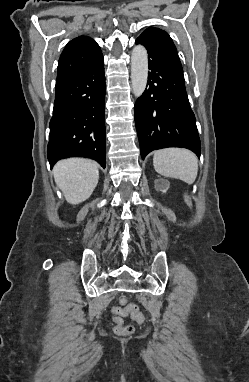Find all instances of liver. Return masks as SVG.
<instances>
[{"mask_svg":"<svg viewBox=\"0 0 249 382\" xmlns=\"http://www.w3.org/2000/svg\"><path fill=\"white\" fill-rule=\"evenodd\" d=\"M53 174L65 199L73 205L86 201L99 180L97 163L83 158H69L57 162Z\"/></svg>","mask_w":249,"mask_h":382,"instance_id":"liver-1","label":"liver"}]
</instances>
